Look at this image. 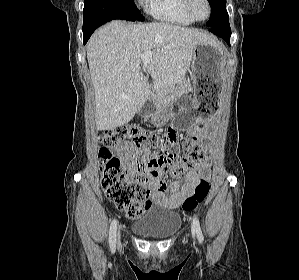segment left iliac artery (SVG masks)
<instances>
[{
    "instance_id": "1",
    "label": "left iliac artery",
    "mask_w": 299,
    "mask_h": 280,
    "mask_svg": "<svg viewBox=\"0 0 299 280\" xmlns=\"http://www.w3.org/2000/svg\"><path fill=\"white\" fill-rule=\"evenodd\" d=\"M192 230H193V232H196L198 241L200 243H202L204 240V237H203V234L201 231L199 220L196 217L193 218Z\"/></svg>"
}]
</instances>
